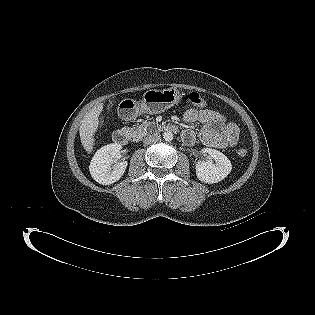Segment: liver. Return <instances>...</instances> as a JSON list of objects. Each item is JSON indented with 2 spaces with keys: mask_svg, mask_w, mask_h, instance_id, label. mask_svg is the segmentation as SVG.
<instances>
[{
  "mask_svg": "<svg viewBox=\"0 0 315 315\" xmlns=\"http://www.w3.org/2000/svg\"><path fill=\"white\" fill-rule=\"evenodd\" d=\"M103 110V104L100 103L94 108H92L82 119L79 133L81 143L84 149L91 153L94 145V134L98 130L99 125L103 124V121H100V114Z\"/></svg>",
  "mask_w": 315,
  "mask_h": 315,
  "instance_id": "obj_1",
  "label": "liver"
}]
</instances>
